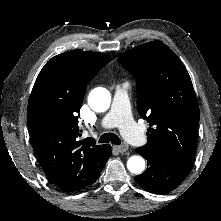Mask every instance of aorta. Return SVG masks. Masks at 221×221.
<instances>
[{"mask_svg": "<svg viewBox=\"0 0 221 221\" xmlns=\"http://www.w3.org/2000/svg\"><path fill=\"white\" fill-rule=\"evenodd\" d=\"M110 102L109 91L101 87L93 89L88 97V104L95 112H105ZM127 168L133 174H141L145 169V160L141 156H131L127 161Z\"/></svg>", "mask_w": 221, "mask_h": 221, "instance_id": "obj_1", "label": "aorta"}]
</instances>
